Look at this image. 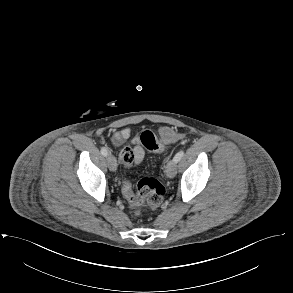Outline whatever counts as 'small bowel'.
<instances>
[{
  "instance_id": "1",
  "label": "small bowel",
  "mask_w": 293,
  "mask_h": 293,
  "mask_svg": "<svg viewBox=\"0 0 293 293\" xmlns=\"http://www.w3.org/2000/svg\"><path fill=\"white\" fill-rule=\"evenodd\" d=\"M131 137V131L128 128H123L115 131L111 136V143L119 147L123 145ZM161 137L165 143L174 142L182 138L181 134H176L170 129H162ZM132 146L125 147L120 153V159L125 167H131L133 165L140 164L145 157V151L140 144L138 137L131 139Z\"/></svg>"
}]
</instances>
